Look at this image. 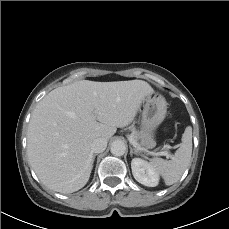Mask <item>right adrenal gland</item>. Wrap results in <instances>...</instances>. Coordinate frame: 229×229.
<instances>
[{
    "mask_svg": "<svg viewBox=\"0 0 229 229\" xmlns=\"http://www.w3.org/2000/svg\"><path fill=\"white\" fill-rule=\"evenodd\" d=\"M97 155H98V154H94V155H93V158H92V163L94 162L95 157H96Z\"/></svg>",
    "mask_w": 229,
    "mask_h": 229,
    "instance_id": "1",
    "label": "right adrenal gland"
}]
</instances>
